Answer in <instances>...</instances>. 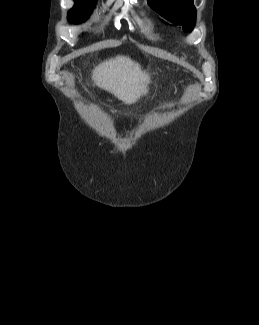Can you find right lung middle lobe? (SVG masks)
<instances>
[{"mask_svg": "<svg viewBox=\"0 0 259 325\" xmlns=\"http://www.w3.org/2000/svg\"><path fill=\"white\" fill-rule=\"evenodd\" d=\"M73 8L68 12V21L72 23L84 22L95 7L96 0H74Z\"/></svg>", "mask_w": 259, "mask_h": 325, "instance_id": "obj_1", "label": "right lung middle lobe"}]
</instances>
